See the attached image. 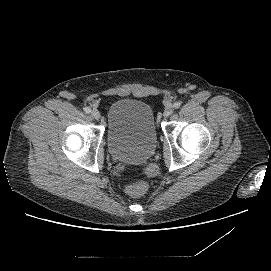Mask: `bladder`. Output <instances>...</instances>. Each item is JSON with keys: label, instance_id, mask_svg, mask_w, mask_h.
<instances>
[{"label": "bladder", "instance_id": "bladder-1", "mask_svg": "<svg viewBox=\"0 0 271 271\" xmlns=\"http://www.w3.org/2000/svg\"><path fill=\"white\" fill-rule=\"evenodd\" d=\"M108 149L123 163H145L154 154L157 134L152 108L136 99H120L108 109Z\"/></svg>", "mask_w": 271, "mask_h": 271}]
</instances>
